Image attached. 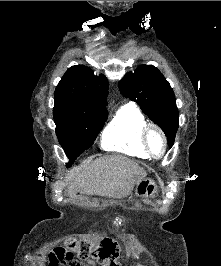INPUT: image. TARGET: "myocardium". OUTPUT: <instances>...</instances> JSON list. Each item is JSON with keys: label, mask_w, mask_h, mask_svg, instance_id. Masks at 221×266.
Here are the masks:
<instances>
[{"label": "myocardium", "mask_w": 221, "mask_h": 266, "mask_svg": "<svg viewBox=\"0 0 221 266\" xmlns=\"http://www.w3.org/2000/svg\"><path fill=\"white\" fill-rule=\"evenodd\" d=\"M153 134L157 135L160 138L161 143H162L161 152L159 154H156L152 150L151 145H150V139ZM142 142L149 156L155 159H159V158H162L166 154V151L168 148L167 138L159 127L155 125L147 124L142 132Z\"/></svg>", "instance_id": "1"}]
</instances>
